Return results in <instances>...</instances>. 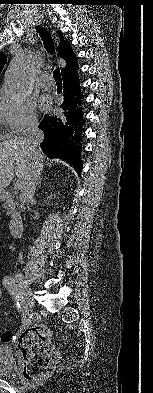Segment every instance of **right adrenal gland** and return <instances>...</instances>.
Wrapping results in <instances>:
<instances>
[{"label":"right adrenal gland","mask_w":153,"mask_h":393,"mask_svg":"<svg viewBox=\"0 0 153 393\" xmlns=\"http://www.w3.org/2000/svg\"><path fill=\"white\" fill-rule=\"evenodd\" d=\"M41 187V180L39 181V185H38V188H40Z\"/></svg>","instance_id":"obj_1"}]
</instances>
